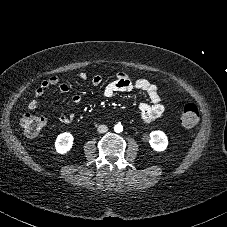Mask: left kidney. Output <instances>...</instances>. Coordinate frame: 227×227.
<instances>
[{"label":"left kidney","mask_w":227,"mask_h":227,"mask_svg":"<svg viewBox=\"0 0 227 227\" xmlns=\"http://www.w3.org/2000/svg\"><path fill=\"white\" fill-rule=\"evenodd\" d=\"M150 146L157 152L164 151L168 146V138L163 131L157 130L150 133Z\"/></svg>","instance_id":"5707ae66"}]
</instances>
